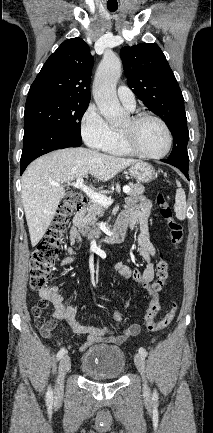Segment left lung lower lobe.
I'll return each instance as SVG.
<instances>
[{
  "instance_id": "0a47b994",
  "label": "left lung lower lobe",
  "mask_w": 213,
  "mask_h": 433,
  "mask_svg": "<svg viewBox=\"0 0 213 433\" xmlns=\"http://www.w3.org/2000/svg\"><path fill=\"white\" fill-rule=\"evenodd\" d=\"M162 161L177 167L178 169H180L184 173L186 178L189 179V176H188V165L189 164H183L181 162L172 161L170 159H164Z\"/></svg>"
}]
</instances>
